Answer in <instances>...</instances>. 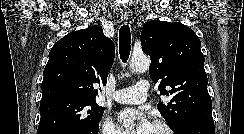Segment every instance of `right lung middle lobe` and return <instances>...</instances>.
<instances>
[{
	"mask_svg": "<svg viewBox=\"0 0 244 134\" xmlns=\"http://www.w3.org/2000/svg\"><path fill=\"white\" fill-rule=\"evenodd\" d=\"M103 112L104 108L95 101L68 97L47 99L40 104L41 118L37 134H47L60 128L96 131Z\"/></svg>",
	"mask_w": 244,
	"mask_h": 134,
	"instance_id": "dd1d6c3e",
	"label": "right lung middle lobe"
}]
</instances>
